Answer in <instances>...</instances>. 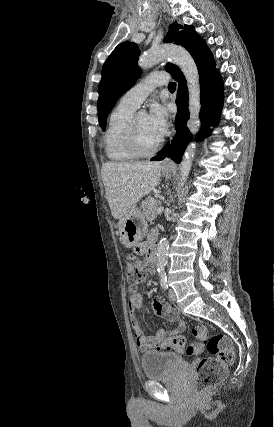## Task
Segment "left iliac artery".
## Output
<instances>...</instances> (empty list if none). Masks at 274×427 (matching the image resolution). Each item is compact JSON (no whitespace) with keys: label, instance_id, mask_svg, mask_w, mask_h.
<instances>
[{"label":"left iliac artery","instance_id":"1","mask_svg":"<svg viewBox=\"0 0 274 427\" xmlns=\"http://www.w3.org/2000/svg\"><path fill=\"white\" fill-rule=\"evenodd\" d=\"M160 284H161V287H162L164 290H168V283H167V280H161Z\"/></svg>","mask_w":274,"mask_h":427}]
</instances>
